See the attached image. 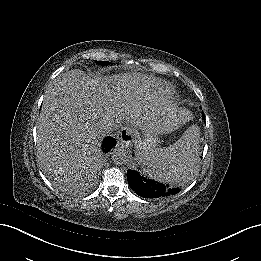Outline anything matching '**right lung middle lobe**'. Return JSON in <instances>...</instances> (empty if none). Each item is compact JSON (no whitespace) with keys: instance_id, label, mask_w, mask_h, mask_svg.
<instances>
[{"instance_id":"obj_1","label":"right lung middle lobe","mask_w":261,"mask_h":261,"mask_svg":"<svg viewBox=\"0 0 261 261\" xmlns=\"http://www.w3.org/2000/svg\"><path fill=\"white\" fill-rule=\"evenodd\" d=\"M101 63L106 64V63H110V62H108V61H101Z\"/></svg>"}]
</instances>
